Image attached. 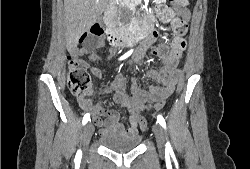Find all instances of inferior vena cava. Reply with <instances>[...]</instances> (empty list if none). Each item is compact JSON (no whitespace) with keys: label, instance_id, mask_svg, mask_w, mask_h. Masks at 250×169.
Returning a JSON list of instances; mask_svg holds the SVG:
<instances>
[{"label":"inferior vena cava","instance_id":"602c4592","mask_svg":"<svg viewBox=\"0 0 250 169\" xmlns=\"http://www.w3.org/2000/svg\"><path fill=\"white\" fill-rule=\"evenodd\" d=\"M130 18H131V12H129L128 8H124L121 14L122 22H124V24H129Z\"/></svg>","mask_w":250,"mask_h":169}]
</instances>
